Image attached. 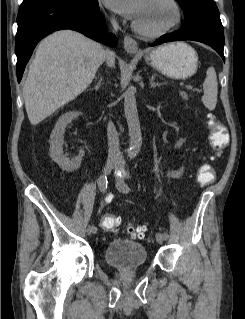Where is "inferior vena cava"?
Returning a JSON list of instances; mask_svg holds the SVG:
<instances>
[{
	"label": "inferior vena cava",
	"mask_w": 245,
	"mask_h": 319,
	"mask_svg": "<svg viewBox=\"0 0 245 319\" xmlns=\"http://www.w3.org/2000/svg\"><path fill=\"white\" fill-rule=\"evenodd\" d=\"M112 26L115 31L118 30L119 26L115 19L111 20ZM106 54L114 58L115 54L112 51H106ZM107 138H108V160L111 162H123V156L119 148V135L116 131L114 124L110 121L107 125Z\"/></svg>",
	"instance_id": "1"
}]
</instances>
